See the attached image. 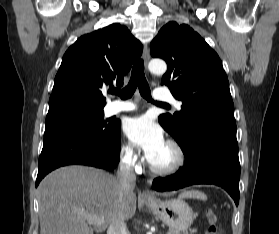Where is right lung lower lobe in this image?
I'll use <instances>...</instances> for the list:
<instances>
[{
	"instance_id": "obj_1",
	"label": "right lung lower lobe",
	"mask_w": 279,
	"mask_h": 234,
	"mask_svg": "<svg viewBox=\"0 0 279 234\" xmlns=\"http://www.w3.org/2000/svg\"><path fill=\"white\" fill-rule=\"evenodd\" d=\"M121 125L106 140L84 132H64L44 138L39 157L36 187L52 170L65 165H88L114 169L119 162Z\"/></svg>"
}]
</instances>
